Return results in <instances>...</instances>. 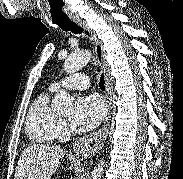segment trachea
I'll return each instance as SVG.
<instances>
[{"mask_svg": "<svg viewBox=\"0 0 183 179\" xmlns=\"http://www.w3.org/2000/svg\"><path fill=\"white\" fill-rule=\"evenodd\" d=\"M52 17L55 22L65 31H71L75 34H80L83 32L82 28L76 23L72 22L62 11L53 14ZM99 87L102 90H105V81L103 75L100 77Z\"/></svg>", "mask_w": 183, "mask_h": 179, "instance_id": "1", "label": "trachea"}]
</instances>
